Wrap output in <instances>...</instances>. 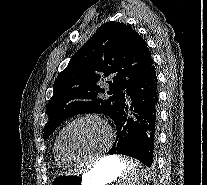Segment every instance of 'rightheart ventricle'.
<instances>
[{"label":"right heart ventricle","instance_id":"e07e8e85","mask_svg":"<svg viewBox=\"0 0 207 185\" xmlns=\"http://www.w3.org/2000/svg\"><path fill=\"white\" fill-rule=\"evenodd\" d=\"M63 130H64V128H62L60 130V132L58 133L57 138L55 140V143H54V157H55L56 162L59 165H62V166L72 165V164L75 163V161L69 159L63 153V151L61 149V134H62Z\"/></svg>","mask_w":207,"mask_h":185}]
</instances>
